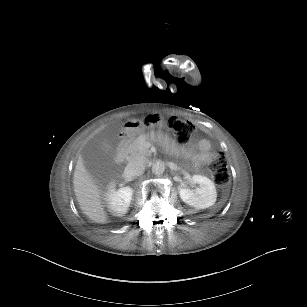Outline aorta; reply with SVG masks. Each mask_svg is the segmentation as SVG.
Here are the masks:
<instances>
[{"mask_svg": "<svg viewBox=\"0 0 307 307\" xmlns=\"http://www.w3.org/2000/svg\"><path fill=\"white\" fill-rule=\"evenodd\" d=\"M152 171L155 174H162L165 171V162L163 161H156L153 165H152Z\"/></svg>", "mask_w": 307, "mask_h": 307, "instance_id": "762f6f07", "label": "aorta"}]
</instances>
